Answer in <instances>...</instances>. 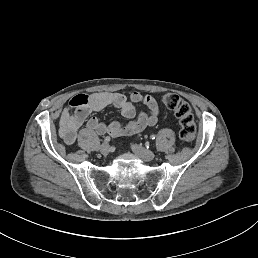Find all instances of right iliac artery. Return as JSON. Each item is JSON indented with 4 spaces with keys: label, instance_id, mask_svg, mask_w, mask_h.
I'll list each match as a JSON object with an SVG mask.
<instances>
[{
    "label": "right iliac artery",
    "instance_id": "1",
    "mask_svg": "<svg viewBox=\"0 0 258 258\" xmlns=\"http://www.w3.org/2000/svg\"><path fill=\"white\" fill-rule=\"evenodd\" d=\"M111 138L109 136L105 137L104 141L105 142H110Z\"/></svg>",
    "mask_w": 258,
    "mask_h": 258
}]
</instances>
